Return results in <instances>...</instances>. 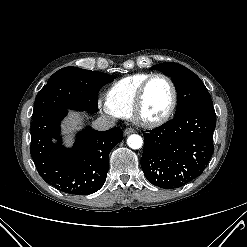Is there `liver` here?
I'll return each mask as SVG.
<instances>
[{
	"instance_id": "6515ba94",
	"label": "liver",
	"mask_w": 247,
	"mask_h": 247,
	"mask_svg": "<svg viewBox=\"0 0 247 247\" xmlns=\"http://www.w3.org/2000/svg\"><path fill=\"white\" fill-rule=\"evenodd\" d=\"M83 117L80 113L71 112L69 117L62 123L61 128L64 134L70 135L78 129L82 123ZM70 142H68L69 144Z\"/></svg>"
}]
</instances>
